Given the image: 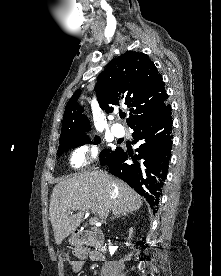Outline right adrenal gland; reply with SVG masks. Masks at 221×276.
Wrapping results in <instances>:
<instances>
[{
    "instance_id": "obj_1",
    "label": "right adrenal gland",
    "mask_w": 221,
    "mask_h": 276,
    "mask_svg": "<svg viewBox=\"0 0 221 276\" xmlns=\"http://www.w3.org/2000/svg\"><path fill=\"white\" fill-rule=\"evenodd\" d=\"M129 213H131V212H126V213H122V214L116 215L115 217L112 218V220H114L115 218H120L122 216H127Z\"/></svg>"
}]
</instances>
